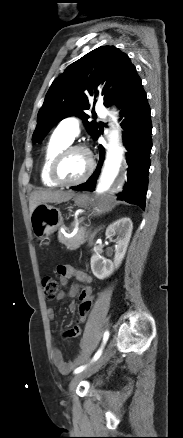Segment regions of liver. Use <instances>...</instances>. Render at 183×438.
<instances>
[{"label": "liver", "mask_w": 183, "mask_h": 438, "mask_svg": "<svg viewBox=\"0 0 183 438\" xmlns=\"http://www.w3.org/2000/svg\"><path fill=\"white\" fill-rule=\"evenodd\" d=\"M75 193L73 191H52V190H39L34 191L30 195L29 198V210L30 216L34 209L40 205L45 203H62L70 200Z\"/></svg>", "instance_id": "1"}]
</instances>
